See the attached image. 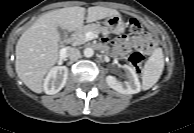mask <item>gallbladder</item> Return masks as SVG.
I'll return each instance as SVG.
<instances>
[{
	"instance_id": "obj_1",
	"label": "gallbladder",
	"mask_w": 194,
	"mask_h": 133,
	"mask_svg": "<svg viewBox=\"0 0 194 133\" xmlns=\"http://www.w3.org/2000/svg\"><path fill=\"white\" fill-rule=\"evenodd\" d=\"M57 29H58L60 38L63 39L64 36H65V33H66L65 30L63 28H61V27H58Z\"/></svg>"
}]
</instances>
